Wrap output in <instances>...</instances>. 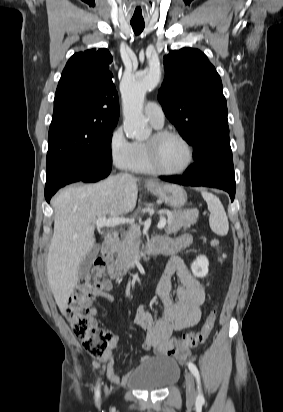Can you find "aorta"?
Listing matches in <instances>:
<instances>
[{
	"instance_id": "1",
	"label": "aorta",
	"mask_w": 283,
	"mask_h": 412,
	"mask_svg": "<svg viewBox=\"0 0 283 412\" xmlns=\"http://www.w3.org/2000/svg\"><path fill=\"white\" fill-rule=\"evenodd\" d=\"M160 82V72L127 76L122 80L121 96L124 116V132L130 138H147L150 130L143 116V104L148 90L155 88Z\"/></svg>"
}]
</instances>
